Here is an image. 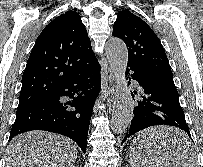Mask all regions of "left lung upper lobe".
<instances>
[{"label": "left lung upper lobe", "instance_id": "left-lung-upper-lobe-1", "mask_svg": "<svg viewBox=\"0 0 203 167\" xmlns=\"http://www.w3.org/2000/svg\"><path fill=\"white\" fill-rule=\"evenodd\" d=\"M113 36L122 39L128 48V67L139 68L163 83L174 84L164 48L145 21L127 10L120 11Z\"/></svg>", "mask_w": 203, "mask_h": 167}]
</instances>
